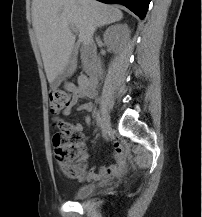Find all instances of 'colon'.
I'll return each instance as SVG.
<instances>
[{"label":"colon","instance_id":"1","mask_svg":"<svg viewBox=\"0 0 202 217\" xmlns=\"http://www.w3.org/2000/svg\"><path fill=\"white\" fill-rule=\"evenodd\" d=\"M73 104V96L60 89L49 93V109L56 117ZM58 131L53 136L54 154L62 174L70 179L83 173L85 139L81 132L71 127V124L58 122Z\"/></svg>","mask_w":202,"mask_h":217}]
</instances>
